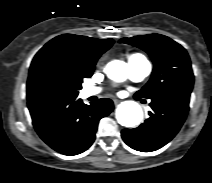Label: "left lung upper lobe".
Listing matches in <instances>:
<instances>
[{
    "instance_id": "left-lung-upper-lobe-1",
    "label": "left lung upper lobe",
    "mask_w": 212,
    "mask_h": 183,
    "mask_svg": "<svg viewBox=\"0 0 212 183\" xmlns=\"http://www.w3.org/2000/svg\"><path fill=\"white\" fill-rule=\"evenodd\" d=\"M119 42L146 51L154 62L151 79L135 94L137 98L190 96L194 75L190 58L180 44L160 34L122 38Z\"/></svg>"
}]
</instances>
